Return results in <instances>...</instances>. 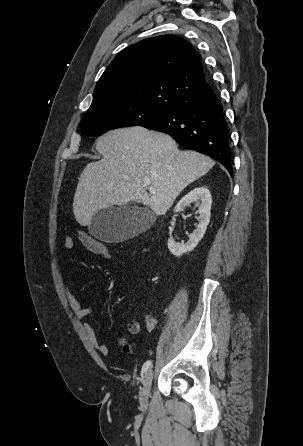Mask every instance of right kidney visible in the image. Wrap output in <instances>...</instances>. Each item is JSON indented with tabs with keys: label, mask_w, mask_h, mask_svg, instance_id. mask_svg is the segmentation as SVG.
<instances>
[{
	"label": "right kidney",
	"mask_w": 303,
	"mask_h": 446,
	"mask_svg": "<svg viewBox=\"0 0 303 446\" xmlns=\"http://www.w3.org/2000/svg\"><path fill=\"white\" fill-rule=\"evenodd\" d=\"M192 202H196L198 207V221L197 228L189 235V240L186 243H177L172 238L168 239V249L175 256H181L183 253L192 251L199 241L203 238L207 226L210 222L211 216V193L206 187H197L185 195L175 207V212L183 211L186 206Z\"/></svg>",
	"instance_id": "1"
}]
</instances>
